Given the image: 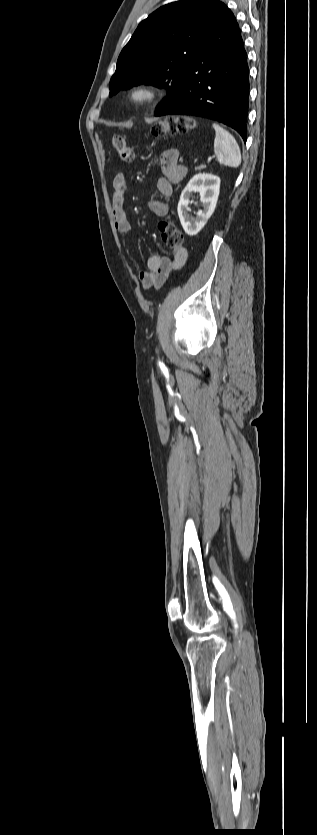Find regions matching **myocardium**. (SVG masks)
<instances>
[{
    "label": "myocardium",
    "instance_id": "myocardium-1",
    "mask_svg": "<svg viewBox=\"0 0 317 835\" xmlns=\"http://www.w3.org/2000/svg\"><path fill=\"white\" fill-rule=\"evenodd\" d=\"M159 96L155 86L147 82H140L133 85L127 93L129 101L139 107L152 103Z\"/></svg>",
    "mask_w": 317,
    "mask_h": 835
}]
</instances>
